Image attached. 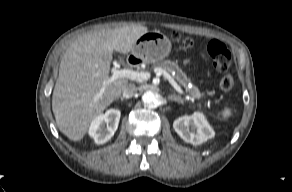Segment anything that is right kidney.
<instances>
[{
    "instance_id": "obj_1",
    "label": "right kidney",
    "mask_w": 292,
    "mask_h": 192,
    "mask_svg": "<svg viewBox=\"0 0 292 192\" xmlns=\"http://www.w3.org/2000/svg\"><path fill=\"white\" fill-rule=\"evenodd\" d=\"M121 113L117 109H110L105 114L98 115L91 123L89 135L96 144L109 141L118 128Z\"/></svg>"
}]
</instances>
